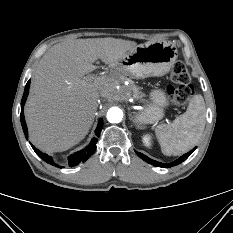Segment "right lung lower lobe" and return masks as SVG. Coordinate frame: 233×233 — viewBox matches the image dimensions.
<instances>
[{
    "mask_svg": "<svg viewBox=\"0 0 233 233\" xmlns=\"http://www.w3.org/2000/svg\"><path fill=\"white\" fill-rule=\"evenodd\" d=\"M29 87H30V80L27 82V84L25 86V91H24V94H23V97H22V100H21V114H20L21 124H22L23 131H24V134H25L26 138H28V132H27V126H26V122H25V118H24L23 108H24V104H25V101H26L27 96H28ZM102 127H103V119H100L99 123H98V126H97V128L95 130L96 137L99 136V134H100V132L102 130ZM96 137L92 139V141L90 142V144L88 145V147H86L85 149H83V150H81V151H79V152H77L75 154H72L68 158L69 165L71 167L78 165L81 161L85 162L94 153V151L96 149V143L98 141V139ZM32 148L34 149V151L36 152V154L42 160H44L45 162H47V163H49L51 165H54V166L58 167V165H56L55 163H53L52 158L49 155H47L45 153H42L41 151H39L38 149H36L34 146H32Z\"/></svg>",
    "mask_w": 233,
    "mask_h": 233,
    "instance_id": "1",
    "label": "right lung lower lobe"
}]
</instances>
